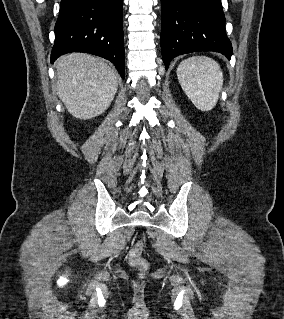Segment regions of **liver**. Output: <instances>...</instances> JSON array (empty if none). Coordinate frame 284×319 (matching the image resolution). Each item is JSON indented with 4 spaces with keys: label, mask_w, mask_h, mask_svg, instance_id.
Instances as JSON below:
<instances>
[{
    "label": "liver",
    "mask_w": 284,
    "mask_h": 319,
    "mask_svg": "<svg viewBox=\"0 0 284 319\" xmlns=\"http://www.w3.org/2000/svg\"><path fill=\"white\" fill-rule=\"evenodd\" d=\"M57 93L68 112L87 120L107 110L118 88V74L104 59L85 53L60 57Z\"/></svg>",
    "instance_id": "obj_1"
}]
</instances>
